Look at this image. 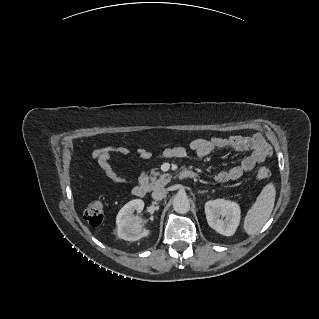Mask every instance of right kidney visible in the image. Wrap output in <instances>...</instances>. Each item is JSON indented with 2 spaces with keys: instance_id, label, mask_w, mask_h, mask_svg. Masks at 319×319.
<instances>
[{
  "instance_id": "ca27d5eb",
  "label": "right kidney",
  "mask_w": 319,
  "mask_h": 319,
  "mask_svg": "<svg viewBox=\"0 0 319 319\" xmlns=\"http://www.w3.org/2000/svg\"><path fill=\"white\" fill-rule=\"evenodd\" d=\"M144 208V201L134 199L125 204L116 217V231L119 238L126 241H136L150 234V230L143 228L142 217L135 216V211L141 212Z\"/></svg>"
}]
</instances>
